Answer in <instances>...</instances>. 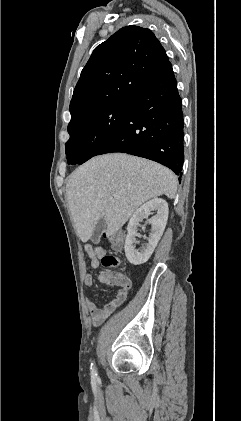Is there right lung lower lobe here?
I'll use <instances>...</instances> for the list:
<instances>
[{
  "mask_svg": "<svg viewBox=\"0 0 241 421\" xmlns=\"http://www.w3.org/2000/svg\"><path fill=\"white\" fill-rule=\"evenodd\" d=\"M181 104L168 60L130 97L121 127L96 155L128 153L156 161L182 176L184 133Z\"/></svg>",
  "mask_w": 241,
  "mask_h": 421,
  "instance_id": "98d812e1",
  "label": "right lung lower lobe"
}]
</instances>
